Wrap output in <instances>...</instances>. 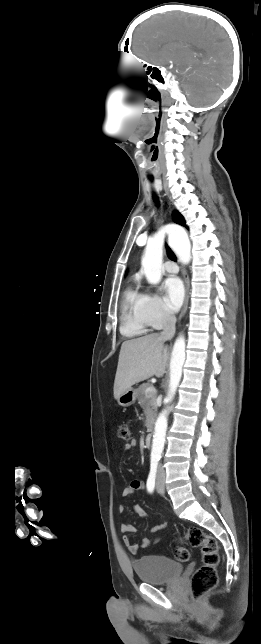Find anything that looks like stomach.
Instances as JSON below:
<instances>
[{
  "mask_svg": "<svg viewBox=\"0 0 261 644\" xmlns=\"http://www.w3.org/2000/svg\"><path fill=\"white\" fill-rule=\"evenodd\" d=\"M136 398H137V390H135L133 388H129L123 394H121L119 396L117 401H118L119 405H121L123 407H127V406H130V405L134 404L135 401H136Z\"/></svg>",
  "mask_w": 261,
  "mask_h": 644,
  "instance_id": "obj_1",
  "label": "stomach"
}]
</instances>
